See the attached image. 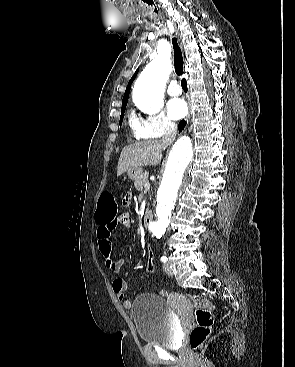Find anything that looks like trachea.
Returning <instances> with one entry per match:
<instances>
[{
    "label": "trachea",
    "mask_w": 295,
    "mask_h": 367,
    "mask_svg": "<svg viewBox=\"0 0 295 367\" xmlns=\"http://www.w3.org/2000/svg\"><path fill=\"white\" fill-rule=\"evenodd\" d=\"M172 44H173V49H174L175 72L178 76H182L183 75V56H182L181 48L176 38L172 39ZM181 86L184 90H187V82L185 79L181 80Z\"/></svg>",
    "instance_id": "1"
}]
</instances>
